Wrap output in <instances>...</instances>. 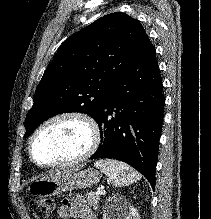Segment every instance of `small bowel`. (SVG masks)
<instances>
[{"instance_id": "obj_1", "label": "small bowel", "mask_w": 211, "mask_h": 219, "mask_svg": "<svg viewBox=\"0 0 211 219\" xmlns=\"http://www.w3.org/2000/svg\"><path fill=\"white\" fill-rule=\"evenodd\" d=\"M97 219L93 211L84 203L81 196H75L63 201L62 206L57 211L56 219Z\"/></svg>"}]
</instances>
